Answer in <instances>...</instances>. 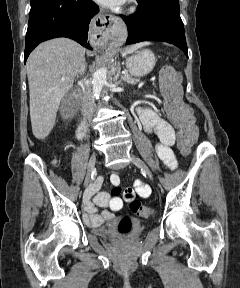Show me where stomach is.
I'll return each mask as SVG.
<instances>
[{"label": "stomach", "instance_id": "stomach-1", "mask_svg": "<svg viewBox=\"0 0 240 288\" xmlns=\"http://www.w3.org/2000/svg\"><path fill=\"white\" fill-rule=\"evenodd\" d=\"M156 63V58L152 51L141 50L134 55L126 58V67L128 71L136 77L149 74Z\"/></svg>", "mask_w": 240, "mask_h": 288}]
</instances>
